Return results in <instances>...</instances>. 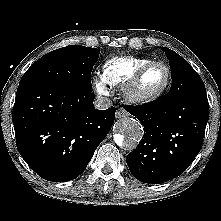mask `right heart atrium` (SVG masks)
<instances>
[{"mask_svg": "<svg viewBox=\"0 0 221 221\" xmlns=\"http://www.w3.org/2000/svg\"><path fill=\"white\" fill-rule=\"evenodd\" d=\"M93 85H94L95 91L99 95L107 94V89H106V86H105V83H104L103 79H101V78H94Z\"/></svg>", "mask_w": 221, "mask_h": 221, "instance_id": "obj_1", "label": "right heart atrium"}]
</instances>
